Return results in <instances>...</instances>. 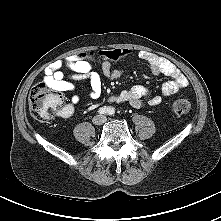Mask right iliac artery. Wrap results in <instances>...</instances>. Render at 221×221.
Instances as JSON below:
<instances>
[{
	"label": "right iliac artery",
	"instance_id": "right-iliac-artery-1",
	"mask_svg": "<svg viewBox=\"0 0 221 221\" xmlns=\"http://www.w3.org/2000/svg\"><path fill=\"white\" fill-rule=\"evenodd\" d=\"M98 112H99L100 114H107V113H108V108L102 107V108H100V109L98 110Z\"/></svg>",
	"mask_w": 221,
	"mask_h": 221
}]
</instances>
